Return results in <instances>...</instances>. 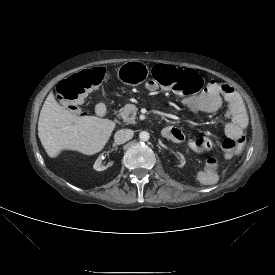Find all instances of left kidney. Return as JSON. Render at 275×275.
<instances>
[{"label":"left kidney","instance_id":"left-kidney-1","mask_svg":"<svg viewBox=\"0 0 275 275\" xmlns=\"http://www.w3.org/2000/svg\"><path fill=\"white\" fill-rule=\"evenodd\" d=\"M180 156V165L179 167H183L186 164L185 158L181 153H178Z\"/></svg>","mask_w":275,"mask_h":275}]
</instances>
